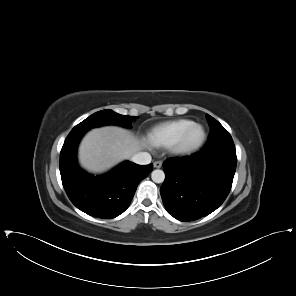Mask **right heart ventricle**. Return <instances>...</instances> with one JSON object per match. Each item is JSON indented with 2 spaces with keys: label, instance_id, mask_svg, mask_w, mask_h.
Masks as SVG:
<instances>
[{
  "label": "right heart ventricle",
  "instance_id": "obj_1",
  "mask_svg": "<svg viewBox=\"0 0 296 296\" xmlns=\"http://www.w3.org/2000/svg\"><path fill=\"white\" fill-rule=\"evenodd\" d=\"M191 123L188 119L166 121L154 126L146 135L149 145L154 147H168L175 138Z\"/></svg>",
  "mask_w": 296,
  "mask_h": 296
}]
</instances>
